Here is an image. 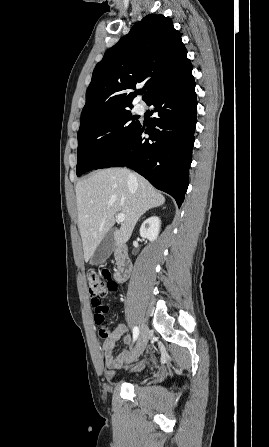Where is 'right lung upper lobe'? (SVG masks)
<instances>
[{"instance_id": "obj_1", "label": "right lung upper lobe", "mask_w": 269, "mask_h": 447, "mask_svg": "<svg viewBox=\"0 0 269 447\" xmlns=\"http://www.w3.org/2000/svg\"><path fill=\"white\" fill-rule=\"evenodd\" d=\"M186 55L181 33L173 28L171 19L160 14L145 16L96 65L80 127L107 112L132 107L139 83L147 89L146 101L190 63Z\"/></svg>"}]
</instances>
